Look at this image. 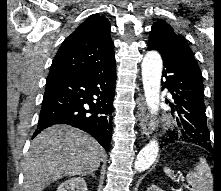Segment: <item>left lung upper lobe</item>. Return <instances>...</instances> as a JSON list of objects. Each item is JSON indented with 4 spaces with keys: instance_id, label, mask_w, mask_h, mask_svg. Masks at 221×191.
I'll return each mask as SVG.
<instances>
[{
    "instance_id": "left-lung-upper-lobe-1",
    "label": "left lung upper lobe",
    "mask_w": 221,
    "mask_h": 191,
    "mask_svg": "<svg viewBox=\"0 0 221 191\" xmlns=\"http://www.w3.org/2000/svg\"><path fill=\"white\" fill-rule=\"evenodd\" d=\"M181 44H187L186 40L174 32L173 28L162 20L153 24L150 32L148 48H153L161 54H172L177 51ZM199 142L200 146L209 145L211 147L210 136Z\"/></svg>"
}]
</instances>
